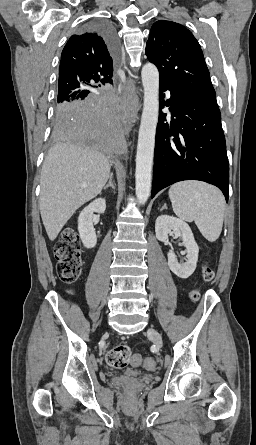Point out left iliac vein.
I'll return each mask as SVG.
<instances>
[{
    "label": "left iliac vein",
    "instance_id": "1",
    "mask_svg": "<svg viewBox=\"0 0 256 445\" xmlns=\"http://www.w3.org/2000/svg\"><path fill=\"white\" fill-rule=\"evenodd\" d=\"M148 334L156 346L160 347L162 345V337L154 328H149Z\"/></svg>",
    "mask_w": 256,
    "mask_h": 445
}]
</instances>
